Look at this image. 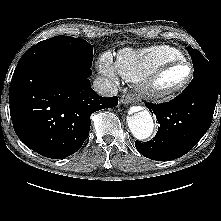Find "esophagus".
<instances>
[{
  "instance_id": "1",
  "label": "esophagus",
  "mask_w": 221,
  "mask_h": 221,
  "mask_svg": "<svg viewBox=\"0 0 221 221\" xmlns=\"http://www.w3.org/2000/svg\"><path fill=\"white\" fill-rule=\"evenodd\" d=\"M120 101L123 104H130V103H132L134 101V98H133V96L131 94H126V95H123L121 97Z\"/></svg>"
}]
</instances>
